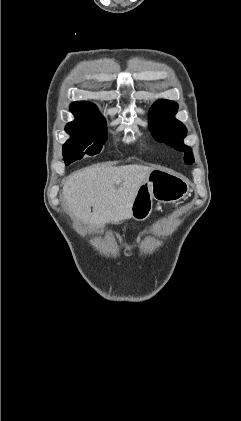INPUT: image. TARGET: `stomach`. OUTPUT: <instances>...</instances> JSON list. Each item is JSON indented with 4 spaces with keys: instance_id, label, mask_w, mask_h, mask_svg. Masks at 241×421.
Instances as JSON below:
<instances>
[{
    "instance_id": "1",
    "label": "stomach",
    "mask_w": 241,
    "mask_h": 421,
    "mask_svg": "<svg viewBox=\"0 0 241 421\" xmlns=\"http://www.w3.org/2000/svg\"><path fill=\"white\" fill-rule=\"evenodd\" d=\"M189 190V183L182 176L162 168L152 169L133 199L131 217L144 221L152 212L153 199L161 203H176L185 198Z\"/></svg>"
}]
</instances>
